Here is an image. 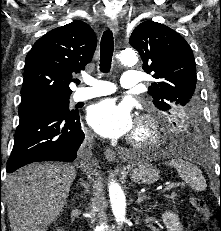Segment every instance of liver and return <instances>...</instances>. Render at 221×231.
I'll return each mask as SVG.
<instances>
[{"mask_svg": "<svg viewBox=\"0 0 221 231\" xmlns=\"http://www.w3.org/2000/svg\"><path fill=\"white\" fill-rule=\"evenodd\" d=\"M75 166L36 163L20 168L5 182L12 231H47L67 203Z\"/></svg>", "mask_w": 221, "mask_h": 231, "instance_id": "6515ba94", "label": "liver"}]
</instances>
